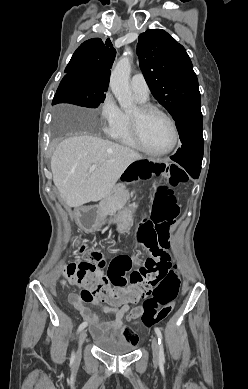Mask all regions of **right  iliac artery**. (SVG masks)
Listing matches in <instances>:
<instances>
[{
    "instance_id": "obj_1",
    "label": "right iliac artery",
    "mask_w": 248,
    "mask_h": 389,
    "mask_svg": "<svg viewBox=\"0 0 248 389\" xmlns=\"http://www.w3.org/2000/svg\"><path fill=\"white\" fill-rule=\"evenodd\" d=\"M87 326V322H83L80 324L79 328H78V332H80L81 330H83L85 327ZM75 359V356H74V353L72 354L71 356V362H73Z\"/></svg>"
}]
</instances>
